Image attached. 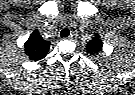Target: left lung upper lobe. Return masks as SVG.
Returning <instances> with one entry per match:
<instances>
[{
    "instance_id": "obj_1",
    "label": "left lung upper lobe",
    "mask_w": 135,
    "mask_h": 95,
    "mask_svg": "<svg viewBox=\"0 0 135 95\" xmlns=\"http://www.w3.org/2000/svg\"><path fill=\"white\" fill-rule=\"evenodd\" d=\"M102 48L103 43L99 34H96L95 37L86 45L87 52L93 56L98 55L100 52H102Z\"/></svg>"
}]
</instances>
